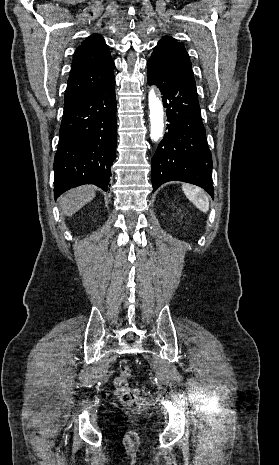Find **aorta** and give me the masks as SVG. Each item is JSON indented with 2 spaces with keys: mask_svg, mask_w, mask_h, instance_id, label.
<instances>
[{
  "mask_svg": "<svg viewBox=\"0 0 279 465\" xmlns=\"http://www.w3.org/2000/svg\"><path fill=\"white\" fill-rule=\"evenodd\" d=\"M149 110H150V138L153 141H158L164 130V112L161 100L156 96L153 89L148 95Z\"/></svg>",
  "mask_w": 279,
  "mask_h": 465,
  "instance_id": "obj_1",
  "label": "aorta"
}]
</instances>
